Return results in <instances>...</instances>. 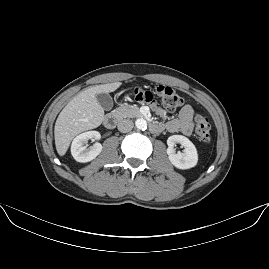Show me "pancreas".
Instances as JSON below:
<instances>
[{"label": "pancreas", "instance_id": "1", "mask_svg": "<svg viewBox=\"0 0 269 269\" xmlns=\"http://www.w3.org/2000/svg\"><path fill=\"white\" fill-rule=\"evenodd\" d=\"M112 114L118 120L123 118H134L142 116L139 108L131 105H121L120 107L113 110Z\"/></svg>", "mask_w": 269, "mask_h": 269}]
</instances>
